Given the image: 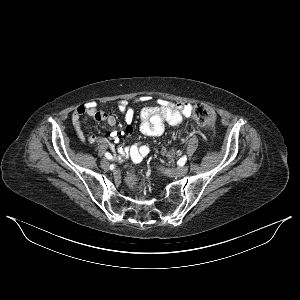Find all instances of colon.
Wrapping results in <instances>:
<instances>
[{"label": "colon", "instance_id": "obj_1", "mask_svg": "<svg viewBox=\"0 0 300 300\" xmlns=\"http://www.w3.org/2000/svg\"><path fill=\"white\" fill-rule=\"evenodd\" d=\"M192 114L195 121L202 126L212 127L216 122L215 112L206 104L197 103L193 108ZM127 181L131 185H136V177L134 175H129Z\"/></svg>", "mask_w": 300, "mask_h": 300}]
</instances>
